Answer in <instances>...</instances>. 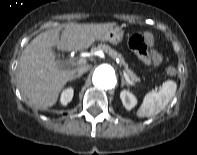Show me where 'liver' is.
I'll list each match as a JSON object with an SVG mask.
<instances>
[{
    "label": "liver",
    "mask_w": 197,
    "mask_h": 155,
    "mask_svg": "<svg viewBox=\"0 0 197 155\" xmlns=\"http://www.w3.org/2000/svg\"><path fill=\"white\" fill-rule=\"evenodd\" d=\"M113 26L114 23H69L63 30L57 27L36 36L25 47L19 60L17 76L21 94L37 107L53 106L76 69H67L64 63L60 66L52 47L62 51L87 49Z\"/></svg>",
    "instance_id": "liver-1"
}]
</instances>
